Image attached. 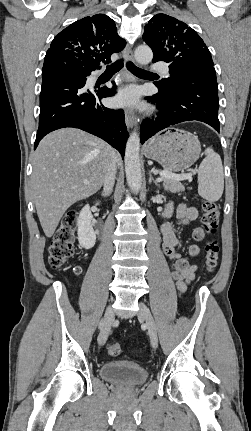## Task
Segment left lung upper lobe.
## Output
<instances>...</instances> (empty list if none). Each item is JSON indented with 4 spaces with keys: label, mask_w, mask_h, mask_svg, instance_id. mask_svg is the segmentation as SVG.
I'll use <instances>...</instances> for the list:
<instances>
[{
    "label": "left lung upper lobe",
    "mask_w": 251,
    "mask_h": 431,
    "mask_svg": "<svg viewBox=\"0 0 251 431\" xmlns=\"http://www.w3.org/2000/svg\"><path fill=\"white\" fill-rule=\"evenodd\" d=\"M143 40L153 51V62L169 63L170 77L158 82L165 90H171L182 79L204 77L216 80L212 57L205 43L182 21L157 14L146 24Z\"/></svg>",
    "instance_id": "1"
}]
</instances>
